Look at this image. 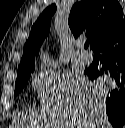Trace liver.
Masks as SVG:
<instances>
[{"label":"liver","mask_w":125,"mask_h":128,"mask_svg":"<svg viewBox=\"0 0 125 128\" xmlns=\"http://www.w3.org/2000/svg\"><path fill=\"white\" fill-rule=\"evenodd\" d=\"M56 91L52 109L36 115L34 121L30 119L31 125L34 122L37 128H109L103 109L105 91L99 84L79 76L67 78L56 86Z\"/></svg>","instance_id":"obj_1"}]
</instances>
